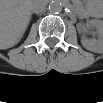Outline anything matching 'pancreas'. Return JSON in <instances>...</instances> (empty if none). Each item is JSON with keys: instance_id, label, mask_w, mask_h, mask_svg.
I'll list each match as a JSON object with an SVG mask.
<instances>
[{"instance_id": "1", "label": "pancreas", "mask_w": 103, "mask_h": 103, "mask_svg": "<svg viewBox=\"0 0 103 103\" xmlns=\"http://www.w3.org/2000/svg\"><path fill=\"white\" fill-rule=\"evenodd\" d=\"M77 5H78V7H79V11L82 12V13H84L85 11H84V9L82 8V5H81L80 3H77Z\"/></svg>"}]
</instances>
